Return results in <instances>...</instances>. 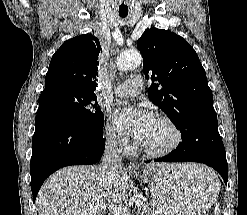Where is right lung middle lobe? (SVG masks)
<instances>
[{"label": "right lung middle lobe", "instance_id": "right-lung-middle-lobe-1", "mask_svg": "<svg viewBox=\"0 0 247 215\" xmlns=\"http://www.w3.org/2000/svg\"><path fill=\"white\" fill-rule=\"evenodd\" d=\"M37 112L55 113L92 128H101L104 121L96 95L68 88L43 91L39 97Z\"/></svg>", "mask_w": 247, "mask_h": 215}]
</instances>
